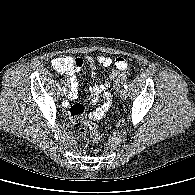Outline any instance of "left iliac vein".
<instances>
[{
  "label": "left iliac vein",
  "mask_w": 195,
  "mask_h": 195,
  "mask_svg": "<svg viewBox=\"0 0 195 195\" xmlns=\"http://www.w3.org/2000/svg\"><path fill=\"white\" fill-rule=\"evenodd\" d=\"M127 97H128V92H127V90L123 89V90L121 91V98H122L123 100H125V99H127Z\"/></svg>",
  "instance_id": "1"
}]
</instances>
